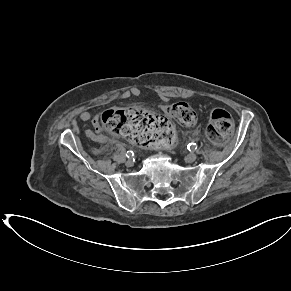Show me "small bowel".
I'll return each mask as SVG.
<instances>
[{"label":"small bowel","mask_w":291,"mask_h":291,"mask_svg":"<svg viewBox=\"0 0 291 291\" xmlns=\"http://www.w3.org/2000/svg\"><path fill=\"white\" fill-rule=\"evenodd\" d=\"M130 93L133 95L135 94L134 91H131ZM80 119L82 121H91L94 125V131L90 130V129H87L85 131V135L89 139H91L92 141H94L96 143L102 144V145H106V144H109L112 142V140L108 136L101 133V129H100V126H99L97 120L93 117V115L90 112H88V111L81 112ZM92 151L94 153L98 152L97 149H93Z\"/></svg>","instance_id":"small-bowel-1"}]
</instances>
